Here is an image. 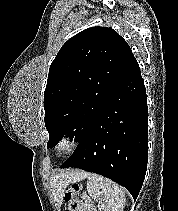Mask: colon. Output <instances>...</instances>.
<instances>
[{
    "instance_id": "obj_1",
    "label": "colon",
    "mask_w": 178,
    "mask_h": 211,
    "mask_svg": "<svg viewBox=\"0 0 178 211\" xmlns=\"http://www.w3.org/2000/svg\"><path fill=\"white\" fill-rule=\"evenodd\" d=\"M81 191V186L74 183L71 188L64 194V200L68 205L69 211H76L75 195Z\"/></svg>"
}]
</instances>
